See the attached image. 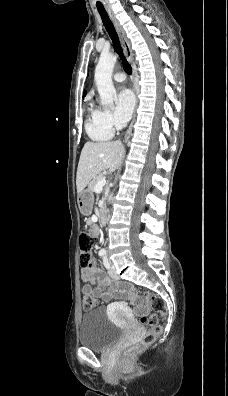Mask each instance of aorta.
I'll return each mask as SVG.
<instances>
[{
	"label": "aorta",
	"mask_w": 228,
	"mask_h": 396,
	"mask_svg": "<svg viewBox=\"0 0 228 396\" xmlns=\"http://www.w3.org/2000/svg\"><path fill=\"white\" fill-rule=\"evenodd\" d=\"M117 60L113 54H102L95 69V83L100 95V103L104 107H112L116 90L112 82V72ZM113 194L109 195L108 202L112 200Z\"/></svg>",
	"instance_id": "762f6f07"
}]
</instances>
